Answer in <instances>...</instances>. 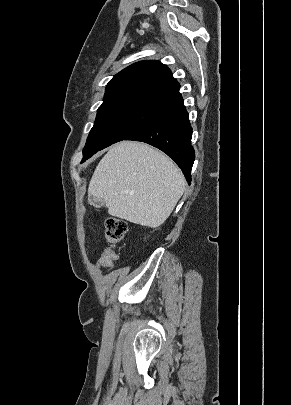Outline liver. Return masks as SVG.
<instances>
[{
	"label": "liver",
	"instance_id": "1",
	"mask_svg": "<svg viewBox=\"0 0 291 405\" xmlns=\"http://www.w3.org/2000/svg\"><path fill=\"white\" fill-rule=\"evenodd\" d=\"M184 189L181 170L165 154L141 142L122 141L99 162L88 197L103 201L111 216L157 228Z\"/></svg>",
	"mask_w": 291,
	"mask_h": 405
}]
</instances>
